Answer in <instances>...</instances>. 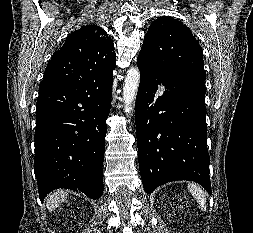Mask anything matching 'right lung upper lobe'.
<instances>
[{
	"mask_svg": "<svg viewBox=\"0 0 253 233\" xmlns=\"http://www.w3.org/2000/svg\"><path fill=\"white\" fill-rule=\"evenodd\" d=\"M116 54L107 33L96 25L72 32L49 61L39 90L48 86L90 79L114 70Z\"/></svg>",
	"mask_w": 253,
	"mask_h": 233,
	"instance_id": "cb5924a9",
	"label": "right lung upper lobe"
}]
</instances>
